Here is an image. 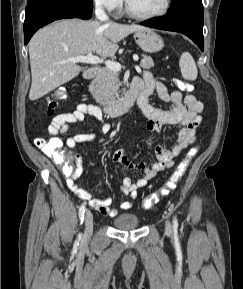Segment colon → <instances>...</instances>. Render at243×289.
I'll use <instances>...</instances> for the list:
<instances>
[{"mask_svg":"<svg viewBox=\"0 0 243 289\" xmlns=\"http://www.w3.org/2000/svg\"><path fill=\"white\" fill-rule=\"evenodd\" d=\"M176 84L180 89H191V86L183 81L177 80ZM65 98L66 92L63 88H59L53 91L50 95V98L47 100V114L52 115L58 106V102L64 100ZM34 142L38 148H40L47 156L52 158L54 162L61 167L64 173L68 174L73 170V156L63 150V142L60 139L51 136L49 139L40 137L36 138ZM197 151V148H193L187 153L186 157L179 163V165L171 175L170 179L167 181V183L160 190L159 193H154L144 198V200L142 201L143 208H152L154 205L157 204L160 196H165L176 188L177 183L184 175L191 159L195 156Z\"/></svg>","mask_w":243,"mask_h":289,"instance_id":"colon-1","label":"colon"}]
</instances>
